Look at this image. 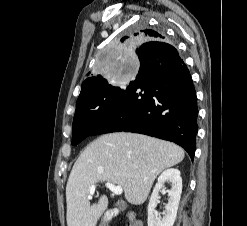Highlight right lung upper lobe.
<instances>
[{
	"instance_id": "cb5924a9",
	"label": "right lung upper lobe",
	"mask_w": 247,
	"mask_h": 226,
	"mask_svg": "<svg viewBox=\"0 0 247 226\" xmlns=\"http://www.w3.org/2000/svg\"><path fill=\"white\" fill-rule=\"evenodd\" d=\"M140 40L146 42H153V41H164L165 36L160 34L159 32L152 30L150 28H142L138 32L130 33L125 35L123 38H121V41L124 40ZM101 82V79L97 76H90L84 82L81 86V92L80 95L85 94L88 91H91L94 89L99 83Z\"/></svg>"
}]
</instances>
